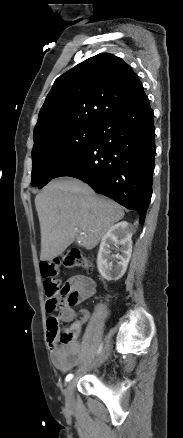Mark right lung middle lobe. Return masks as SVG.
<instances>
[{
	"mask_svg": "<svg viewBox=\"0 0 183 438\" xmlns=\"http://www.w3.org/2000/svg\"><path fill=\"white\" fill-rule=\"evenodd\" d=\"M97 126H78L53 131L34 140L33 187L42 188L92 141Z\"/></svg>",
	"mask_w": 183,
	"mask_h": 438,
	"instance_id": "dd1d6c3e",
	"label": "right lung middle lobe"
}]
</instances>
